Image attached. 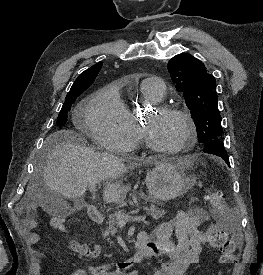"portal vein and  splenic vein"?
Instances as JSON below:
<instances>
[{"label":"portal vein and splenic vein","instance_id":"18ae733b","mask_svg":"<svg viewBox=\"0 0 263 275\" xmlns=\"http://www.w3.org/2000/svg\"><path fill=\"white\" fill-rule=\"evenodd\" d=\"M89 189L91 191L95 190V186L93 184H90ZM146 219V216H129L128 214L124 213H118L117 215V222L118 224H126L128 221H144Z\"/></svg>","mask_w":263,"mask_h":275}]
</instances>
